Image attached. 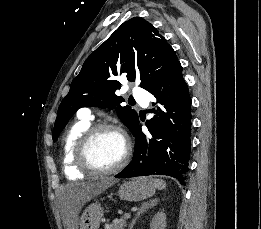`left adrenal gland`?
Returning a JSON list of instances; mask_svg holds the SVG:
<instances>
[{
  "instance_id": "obj_1",
  "label": "left adrenal gland",
  "mask_w": 261,
  "mask_h": 229,
  "mask_svg": "<svg viewBox=\"0 0 261 229\" xmlns=\"http://www.w3.org/2000/svg\"><path fill=\"white\" fill-rule=\"evenodd\" d=\"M157 203H159V199H152V201H148V203H142L139 211H137V215H135L132 223H130L128 229H133L137 219H139L140 215H142V213H145V211H147V209H151V207H156Z\"/></svg>"
}]
</instances>
